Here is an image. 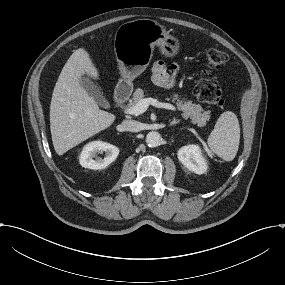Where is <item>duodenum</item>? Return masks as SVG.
I'll return each instance as SVG.
<instances>
[{
  "mask_svg": "<svg viewBox=\"0 0 285 285\" xmlns=\"http://www.w3.org/2000/svg\"><path fill=\"white\" fill-rule=\"evenodd\" d=\"M130 94L131 85L128 83L120 84L115 91L114 100L116 104L121 105L125 103L128 100Z\"/></svg>",
  "mask_w": 285,
  "mask_h": 285,
  "instance_id": "duodenum-1",
  "label": "duodenum"
}]
</instances>
